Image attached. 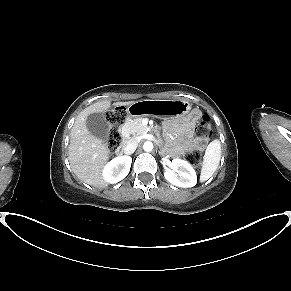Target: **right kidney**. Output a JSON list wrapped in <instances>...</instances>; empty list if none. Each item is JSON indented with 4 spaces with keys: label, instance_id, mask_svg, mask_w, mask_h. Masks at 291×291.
Returning <instances> with one entry per match:
<instances>
[{
    "label": "right kidney",
    "instance_id": "ca27d5eb",
    "mask_svg": "<svg viewBox=\"0 0 291 291\" xmlns=\"http://www.w3.org/2000/svg\"><path fill=\"white\" fill-rule=\"evenodd\" d=\"M131 163L132 158L129 156H120L112 159L102 170L104 180L110 184L121 181L128 175Z\"/></svg>",
    "mask_w": 291,
    "mask_h": 291
}]
</instances>
